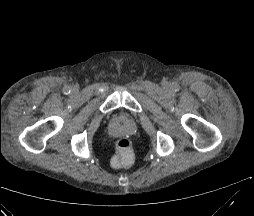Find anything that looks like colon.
I'll return each instance as SVG.
<instances>
[{
	"instance_id": "colon-1",
	"label": "colon",
	"mask_w": 254,
	"mask_h": 216,
	"mask_svg": "<svg viewBox=\"0 0 254 216\" xmlns=\"http://www.w3.org/2000/svg\"><path fill=\"white\" fill-rule=\"evenodd\" d=\"M116 156L112 160L115 168H123L129 166L133 160L132 142L127 137L119 138L115 142Z\"/></svg>"
}]
</instances>
